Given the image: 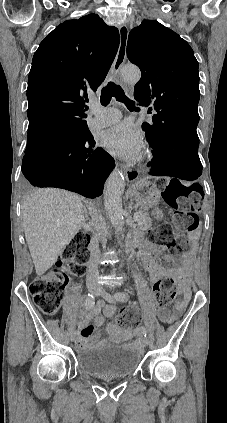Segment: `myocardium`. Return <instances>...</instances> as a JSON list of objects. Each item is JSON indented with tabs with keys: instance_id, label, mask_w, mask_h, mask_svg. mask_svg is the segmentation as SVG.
<instances>
[{
	"instance_id": "obj_1",
	"label": "myocardium",
	"mask_w": 227,
	"mask_h": 423,
	"mask_svg": "<svg viewBox=\"0 0 227 423\" xmlns=\"http://www.w3.org/2000/svg\"><path fill=\"white\" fill-rule=\"evenodd\" d=\"M154 160V154H153V151L152 150H150L149 152H148V155H147V161L148 162H152Z\"/></svg>"
}]
</instances>
